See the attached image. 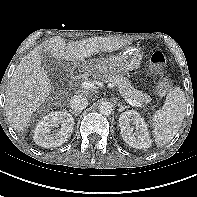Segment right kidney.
I'll list each match as a JSON object with an SVG mask.
<instances>
[{
  "instance_id": "ca27d5eb",
  "label": "right kidney",
  "mask_w": 197,
  "mask_h": 197,
  "mask_svg": "<svg viewBox=\"0 0 197 197\" xmlns=\"http://www.w3.org/2000/svg\"><path fill=\"white\" fill-rule=\"evenodd\" d=\"M60 126V129H55ZM74 119L67 111H55L44 116L34 131V141L44 148L58 147L71 136ZM53 130V131H52Z\"/></svg>"
}]
</instances>
